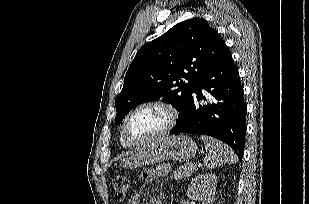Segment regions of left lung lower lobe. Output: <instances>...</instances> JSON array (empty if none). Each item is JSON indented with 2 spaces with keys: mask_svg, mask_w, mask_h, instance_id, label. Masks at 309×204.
<instances>
[{
  "mask_svg": "<svg viewBox=\"0 0 309 204\" xmlns=\"http://www.w3.org/2000/svg\"><path fill=\"white\" fill-rule=\"evenodd\" d=\"M202 89L213 96L212 103L203 106L198 103L206 100ZM245 116L246 103L239 73L226 48L221 58L202 74L171 134L194 133L214 137L228 144L242 159L247 129Z\"/></svg>",
  "mask_w": 309,
  "mask_h": 204,
  "instance_id": "left-lung-lower-lobe-1",
  "label": "left lung lower lobe"
}]
</instances>
